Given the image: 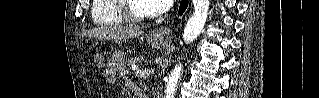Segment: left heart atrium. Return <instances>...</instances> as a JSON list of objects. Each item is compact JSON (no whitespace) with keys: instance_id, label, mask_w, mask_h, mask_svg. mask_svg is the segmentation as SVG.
Listing matches in <instances>:
<instances>
[{"instance_id":"left-heart-atrium-1","label":"left heart atrium","mask_w":319,"mask_h":98,"mask_svg":"<svg viewBox=\"0 0 319 98\" xmlns=\"http://www.w3.org/2000/svg\"><path fill=\"white\" fill-rule=\"evenodd\" d=\"M145 9L155 15L167 12L173 4V0H141Z\"/></svg>"}]
</instances>
